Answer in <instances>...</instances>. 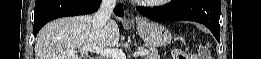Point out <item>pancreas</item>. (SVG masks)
<instances>
[{"mask_svg":"<svg viewBox=\"0 0 261 59\" xmlns=\"http://www.w3.org/2000/svg\"><path fill=\"white\" fill-rule=\"evenodd\" d=\"M140 50H147L149 53L145 57V59H160V55L158 54V50L154 47H151L147 44L139 47Z\"/></svg>","mask_w":261,"mask_h":59,"instance_id":"obj_1","label":"pancreas"}]
</instances>
